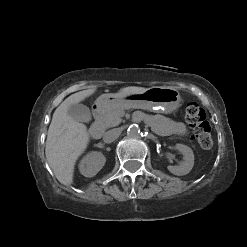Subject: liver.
Listing matches in <instances>:
<instances>
[{"mask_svg": "<svg viewBox=\"0 0 247 247\" xmlns=\"http://www.w3.org/2000/svg\"><path fill=\"white\" fill-rule=\"evenodd\" d=\"M147 88L130 86L116 93L119 97L145 92ZM96 88L83 90L66 98L55 110L48 129L45 154L58 181L66 186L73 183L74 167L77 159L86 150L90 135L86 125L68 115V108L89 97Z\"/></svg>", "mask_w": 247, "mask_h": 247, "instance_id": "obj_1", "label": "liver"}]
</instances>
